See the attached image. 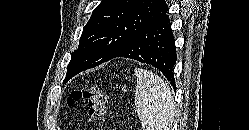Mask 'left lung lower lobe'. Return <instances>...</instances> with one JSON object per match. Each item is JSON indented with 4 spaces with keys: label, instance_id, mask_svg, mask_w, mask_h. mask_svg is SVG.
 Returning a JSON list of instances; mask_svg holds the SVG:
<instances>
[{
    "label": "left lung lower lobe",
    "instance_id": "left-lung-lower-lobe-1",
    "mask_svg": "<svg viewBox=\"0 0 249 130\" xmlns=\"http://www.w3.org/2000/svg\"><path fill=\"white\" fill-rule=\"evenodd\" d=\"M116 57L135 59L154 66L176 88L173 73L176 47L167 14L139 31L113 58Z\"/></svg>",
    "mask_w": 249,
    "mask_h": 130
}]
</instances>
